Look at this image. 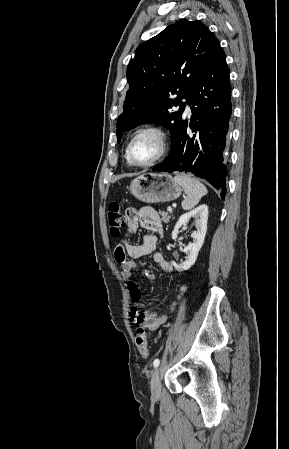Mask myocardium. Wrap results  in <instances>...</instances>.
Masks as SVG:
<instances>
[{
  "instance_id": "f54148a6",
  "label": "myocardium",
  "mask_w": 289,
  "mask_h": 449,
  "mask_svg": "<svg viewBox=\"0 0 289 449\" xmlns=\"http://www.w3.org/2000/svg\"><path fill=\"white\" fill-rule=\"evenodd\" d=\"M144 134L153 135L157 139L159 144V150L152 160L146 163H139L135 161L132 156V146L135 140ZM167 150H168V135L166 131L162 127L157 125H146L137 129L131 136L129 143L127 145V157L129 162L134 166L149 167L160 161L165 156Z\"/></svg>"
}]
</instances>
